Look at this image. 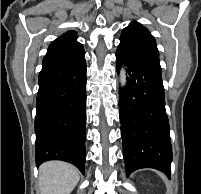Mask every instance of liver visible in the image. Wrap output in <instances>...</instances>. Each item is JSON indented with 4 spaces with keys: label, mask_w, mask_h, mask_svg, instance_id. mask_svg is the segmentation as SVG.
Listing matches in <instances>:
<instances>
[{
    "label": "liver",
    "mask_w": 201,
    "mask_h": 194,
    "mask_svg": "<svg viewBox=\"0 0 201 194\" xmlns=\"http://www.w3.org/2000/svg\"><path fill=\"white\" fill-rule=\"evenodd\" d=\"M79 171L62 161H49L39 168L40 194H70L79 181Z\"/></svg>",
    "instance_id": "1"
}]
</instances>
